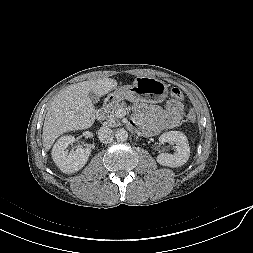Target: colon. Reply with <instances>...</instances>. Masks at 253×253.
<instances>
[{"label":"colon","mask_w":253,"mask_h":253,"mask_svg":"<svg viewBox=\"0 0 253 253\" xmlns=\"http://www.w3.org/2000/svg\"><path fill=\"white\" fill-rule=\"evenodd\" d=\"M171 95L173 98H175L176 100H182L184 98L182 91L177 88V87H173L170 89ZM187 118L190 122L194 123L197 119L196 113L194 112V110H189Z\"/></svg>","instance_id":"obj_1"}]
</instances>
